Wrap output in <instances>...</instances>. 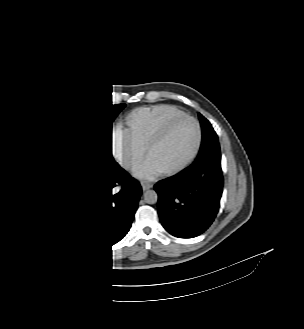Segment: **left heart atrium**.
Segmentation results:
<instances>
[{
    "instance_id": "39dd6f15",
    "label": "left heart atrium",
    "mask_w": 304,
    "mask_h": 329,
    "mask_svg": "<svg viewBox=\"0 0 304 329\" xmlns=\"http://www.w3.org/2000/svg\"><path fill=\"white\" fill-rule=\"evenodd\" d=\"M160 173V170L150 161H146L143 170L142 176L145 180H152Z\"/></svg>"
}]
</instances>
